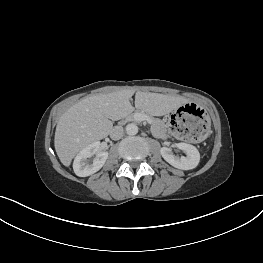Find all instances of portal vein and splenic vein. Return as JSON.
Here are the masks:
<instances>
[{
  "label": "portal vein and splenic vein",
  "instance_id": "1",
  "mask_svg": "<svg viewBox=\"0 0 263 263\" xmlns=\"http://www.w3.org/2000/svg\"><path fill=\"white\" fill-rule=\"evenodd\" d=\"M135 119H136V121H139V122L146 120L149 124L152 123V121H151L149 116L141 114V113L136 114L135 115Z\"/></svg>",
  "mask_w": 263,
  "mask_h": 263
}]
</instances>
